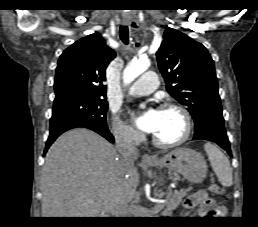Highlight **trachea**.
Wrapping results in <instances>:
<instances>
[{"mask_svg":"<svg viewBox=\"0 0 258 227\" xmlns=\"http://www.w3.org/2000/svg\"><path fill=\"white\" fill-rule=\"evenodd\" d=\"M119 35L124 44L129 43V31L127 26H121L119 30ZM138 45V44H137Z\"/></svg>","mask_w":258,"mask_h":227,"instance_id":"1","label":"trachea"}]
</instances>
